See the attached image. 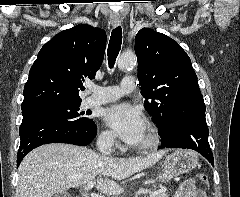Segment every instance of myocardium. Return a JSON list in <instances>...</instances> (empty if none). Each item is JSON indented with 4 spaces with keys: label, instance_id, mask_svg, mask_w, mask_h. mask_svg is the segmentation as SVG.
I'll list each match as a JSON object with an SVG mask.
<instances>
[{
    "label": "myocardium",
    "instance_id": "obj_1",
    "mask_svg": "<svg viewBox=\"0 0 240 197\" xmlns=\"http://www.w3.org/2000/svg\"><path fill=\"white\" fill-rule=\"evenodd\" d=\"M148 138L144 143L137 144L134 146L139 152H150L156 150L161 143V134L159 129L153 125L149 124L147 126Z\"/></svg>",
    "mask_w": 240,
    "mask_h": 197
}]
</instances>
